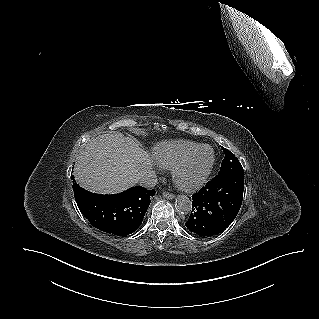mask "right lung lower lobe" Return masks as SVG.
<instances>
[{"instance_id":"98d812e1","label":"right lung lower lobe","mask_w":319,"mask_h":319,"mask_svg":"<svg viewBox=\"0 0 319 319\" xmlns=\"http://www.w3.org/2000/svg\"><path fill=\"white\" fill-rule=\"evenodd\" d=\"M74 181V176L71 177ZM81 213L97 229L119 236L133 233L142 223L155 190L136 186L120 194L103 195L73 184Z\"/></svg>"}]
</instances>
